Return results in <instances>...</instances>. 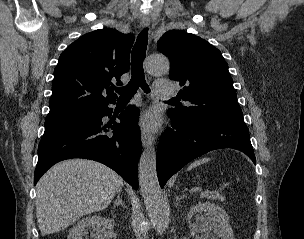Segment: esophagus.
I'll use <instances>...</instances> for the list:
<instances>
[{
  "mask_svg": "<svg viewBox=\"0 0 304 239\" xmlns=\"http://www.w3.org/2000/svg\"><path fill=\"white\" fill-rule=\"evenodd\" d=\"M150 24V20L148 18H142L141 21H140V26L141 28H147ZM153 136L150 135L149 133H147L146 131H142L141 133V141H142V144L143 146H149L153 143Z\"/></svg>",
  "mask_w": 304,
  "mask_h": 239,
  "instance_id": "1",
  "label": "esophagus"
}]
</instances>
